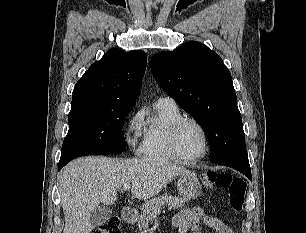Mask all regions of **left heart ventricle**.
Wrapping results in <instances>:
<instances>
[{
	"label": "left heart ventricle",
	"instance_id": "obj_1",
	"mask_svg": "<svg viewBox=\"0 0 306 233\" xmlns=\"http://www.w3.org/2000/svg\"><path fill=\"white\" fill-rule=\"evenodd\" d=\"M178 146L182 154L194 157L202 154L204 150V138L197 126L186 123L180 129Z\"/></svg>",
	"mask_w": 306,
	"mask_h": 233
}]
</instances>
